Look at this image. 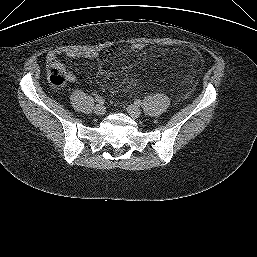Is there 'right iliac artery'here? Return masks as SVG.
Here are the masks:
<instances>
[{
  "mask_svg": "<svg viewBox=\"0 0 257 257\" xmlns=\"http://www.w3.org/2000/svg\"><path fill=\"white\" fill-rule=\"evenodd\" d=\"M95 101H96L97 103H99V104H103V103H104V99H103V97H101V96H96Z\"/></svg>",
  "mask_w": 257,
  "mask_h": 257,
  "instance_id": "right-iliac-artery-1",
  "label": "right iliac artery"
}]
</instances>
